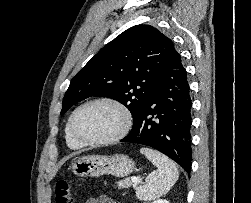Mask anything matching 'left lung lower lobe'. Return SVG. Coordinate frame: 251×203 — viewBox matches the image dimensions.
I'll list each match as a JSON object with an SVG mask.
<instances>
[{
  "instance_id": "obj_1",
  "label": "left lung lower lobe",
  "mask_w": 251,
  "mask_h": 203,
  "mask_svg": "<svg viewBox=\"0 0 251 203\" xmlns=\"http://www.w3.org/2000/svg\"><path fill=\"white\" fill-rule=\"evenodd\" d=\"M191 109L187 72L174 48L132 130L121 141L157 149L190 174Z\"/></svg>"
}]
</instances>
